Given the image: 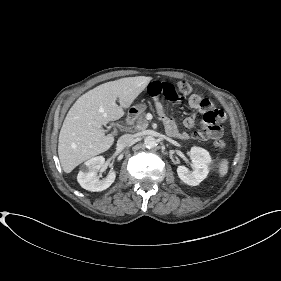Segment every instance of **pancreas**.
I'll use <instances>...</instances> for the list:
<instances>
[{
	"instance_id": "obj_1",
	"label": "pancreas",
	"mask_w": 281,
	"mask_h": 281,
	"mask_svg": "<svg viewBox=\"0 0 281 281\" xmlns=\"http://www.w3.org/2000/svg\"><path fill=\"white\" fill-rule=\"evenodd\" d=\"M135 123V129L136 130H144L148 127L149 122L145 118V113H141L138 116H136L133 120H131L130 124Z\"/></svg>"
}]
</instances>
